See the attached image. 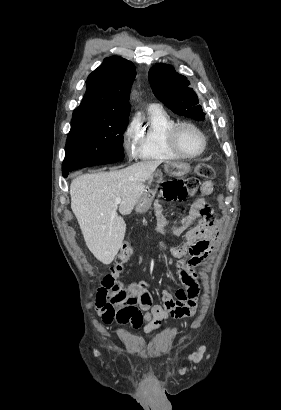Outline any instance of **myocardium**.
<instances>
[{
  "mask_svg": "<svg viewBox=\"0 0 281 410\" xmlns=\"http://www.w3.org/2000/svg\"><path fill=\"white\" fill-rule=\"evenodd\" d=\"M185 127L192 128V129L196 130L202 138V143H203L202 148L197 153H193V154L186 153L179 145L178 135H179V132L181 131V129H183ZM168 143H169L170 148L176 154H178L181 158L193 159V158H197V157L201 156L205 152V150L207 148V137H206L204 131L199 126H197L196 124H194L192 122L183 121V122L176 123L169 130V132H168Z\"/></svg>",
  "mask_w": 281,
  "mask_h": 410,
  "instance_id": "1",
  "label": "myocardium"
}]
</instances>
